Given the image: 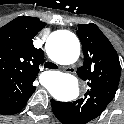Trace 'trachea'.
Segmentation results:
<instances>
[{
  "mask_svg": "<svg viewBox=\"0 0 124 124\" xmlns=\"http://www.w3.org/2000/svg\"><path fill=\"white\" fill-rule=\"evenodd\" d=\"M45 67H46V68H50V69H55V68H56V65L53 64V63H51V62H47V63L45 64Z\"/></svg>",
  "mask_w": 124,
  "mask_h": 124,
  "instance_id": "1",
  "label": "trachea"
}]
</instances>
